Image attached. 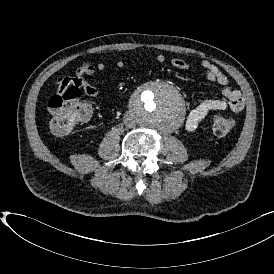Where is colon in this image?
Masks as SVG:
<instances>
[{
  "mask_svg": "<svg viewBox=\"0 0 274 274\" xmlns=\"http://www.w3.org/2000/svg\"><path fill=\"white\" fill-rule=\"evenodd\" d=\"M50 111L56 112L50 120V130L56 136L67 135L74 127L91 120L94 107L91 101L81 98L79 90L61 92L51 95L47 101ZM234 120L222 114L215 115L211 120V129L217 136L230 133Z\"/></svg>",
  "mask_w": 274,
  "mask_h": 274,
  "instance_id": "obj_1",
  "label": "colon"
}]
</instances>
